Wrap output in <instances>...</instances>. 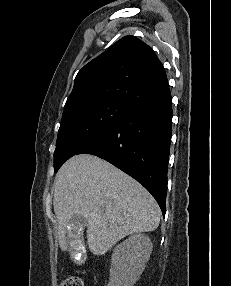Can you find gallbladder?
Segmentation results:
<instances>
[{
  "instance_id": "gallbladder-1",
  "label": "gallbladder",
  "mask_w": 231,
  "mask_h": 286,
  "mask_svg": "<svg viewBox=\"0 0 231 286\" xmlns=\"http://www.w3.org/2000/svg\"><path fill=\"white\" fill-rule=\"evenodd\" d=\"M67 234L69 236L67 243L68 249L71 252L69 255L71 259H74L75 265H82L84 263V259L87 258L85 256L86 249L84 247V237L83 230H88L87 220L83 217V214H74L73 217H70L69 223L66 225Z\"/></svg>"
}]
</instances>
